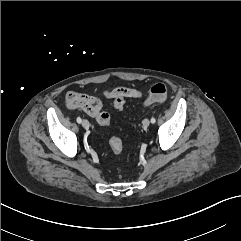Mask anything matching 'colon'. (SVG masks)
<instances>
[{
  "label": "colon",
  "instance_id": "colon-1",
  "mask_svg": "<svg viewBox=\"0 0 241 241\" xmlns=\"http://www.w3.org/2000/svg\"><path fill=\"white\" fill-rule=\"evenodd\" d=\"M115 97L113 101V105L117 110H122L126 103V98L123 95V91L121 89H117L114 91ZM168 89L165 84L157 83L153 85L150 89L148 96L146 97L144 104H149L152 102H160L164 101L167 98ZM97 122L100 125L107 126L110 124L111 117L109 113L102 111L97 116ZM109 145L112 152L116 155H119L123 151V143L119 137L113 136L109 140Z\"/></svg>",
  "mask_w": 241,
  "mask_h": 241
}]
</instances>
